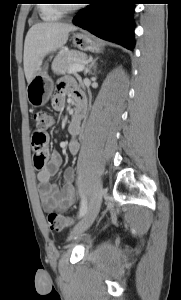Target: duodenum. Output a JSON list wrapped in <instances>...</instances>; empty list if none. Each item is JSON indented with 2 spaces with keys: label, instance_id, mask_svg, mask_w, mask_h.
I'll use <instances>...</instances> for the list:
<instances>
[{
  "label": "duodenum",
  "instance_id": "410a0bca",
  "mask_svg": "<svg viewBox=\"0 0 181 300\" xmlns=\"http://www.w3.org/2000/svg\"><path fill=\"white\" fill-rule=\"evenodd\" d=\"M83 111H84L83 104L82 103H77L76 106H75V114L73 116V119L74 120L78 119V117L80 115H82Z\"/></svg>",
  "mask_w": 181,
  "mask_h": 300
}]
</instances>
